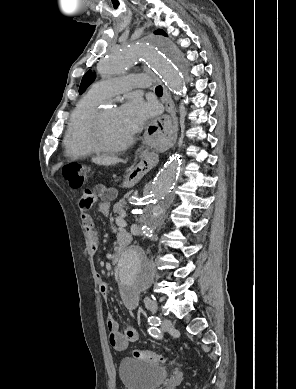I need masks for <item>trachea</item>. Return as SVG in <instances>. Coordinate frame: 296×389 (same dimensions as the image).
<instances>
[{
  "mask_svg": "<svg viewBox=\"0 0 296 389\" xmlns=\"http://www.w3.org/2000/svg\"><path fill=\"white\" fill-rule=\"evenodd\" d=\"M155 92H156V94H158V95H162V93H163L162 86H157V87L155 88Z\"/></svg>",
  "mask_w": 296,
  "mask_h": 389,
  "instance_id": "trachea-1",
  "label": "trachea"
}]
</instances>
